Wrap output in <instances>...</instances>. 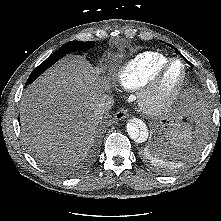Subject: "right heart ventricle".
Here are the masks:
<instances>
[{
    "label": "right heart ventricle",
    "instance_id": "1",
    "mask_svg": "<svg viewBox=\"0 0 221 221\" xmlns=\"http://www.w3.org/2000/svg\"><path fill=\"white\" fill-rule=\"evenodd\" d=\"M170 60L166 55L146 51L124 64L117 73L119 84L128 91L144 88Z\"/></svg>",
    "mask_w": 221,
    "mask_h": 221
}]
</instances>
